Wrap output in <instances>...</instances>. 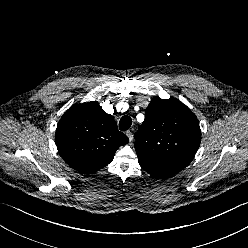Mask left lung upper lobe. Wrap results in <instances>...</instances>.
Listing matches in <instances>:
<instances>
[{"mask_svg": "<svg viewBox=\"0 0 248 248\" xmlns=\"http://www.w3.org/2000/svg\"><path fill=\"white\" fill-rule=\"evenodd\" d=\"M135 139L140 166L150 175L164 178L193 160L201 131L197 117L186 105L177 99L156 98L147 107Z\"/></svg>", "mask_w": 248, "mask_h": 248, "instance_id": "5c2ea615", "label": "left lung upper lobe"}]
</instances>
